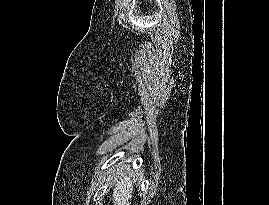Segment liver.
Masks as SVG:
<instances>
[{
    "instance_id": "liver-1",
    "label": "liver",
    "mask_w": 269,
    "mask_h": 205,
    "mask_svg": "<svg viewBox=\"0 0 269 205\" xmlns=\"http://www.w3.org/2000/svg\"><path fill=\"white\" fill-rule=\"evenodd\" d=\"M131 177L132 175L128 172H123L117 176L113 190L114 205H130L129 200L132 199L134 194V187L132 183H129Z\"/></svg>"
}]
</instances>
